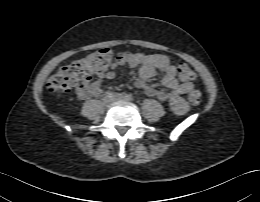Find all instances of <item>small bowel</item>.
Here are the masks:
<instances>
[{
  "label": "small bowel",
  "mask_w": 260,
  "mask_h": 202,
  "mask_svg": "<svg viewBox=\"0 0 260 202\" xmlns=\"http://www.w3.org/2000/svg\"><path fill=\"white\" fill-rule=\"evenodd\" d=\"M116 66L128 68L139 67V77L135 83L137 89L143 91L148 96L158 99L162 103H168L177 114H184L186 112L187 106L182 99V95L190 92L194 88V85L191 82H180L177 79L176 69L166 55L125 53L117 58L114 67ZM157 72L162 74L161 82L167 89L166 91L147 84V81L153 78ZM98 75L100 78L113 79L116 73L114 68H110ZM100 92V82L88 80L85 84V89L77 91V96L83 99L88 95H98Z\"/></svg>",
  "instance_id": "1"
}]
</instances>
